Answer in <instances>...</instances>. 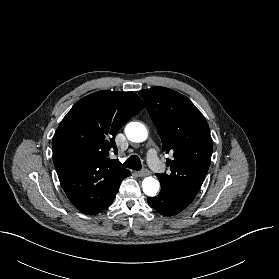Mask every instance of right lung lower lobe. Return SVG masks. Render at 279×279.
I'll use <instances>...</instances> for the list:
<instances>
[{"label": "right lung lower lobe", "instance_id": "right-lung-lower-lobe-1", "mask_svg": "<svg viewBox=\"0 0 279 279\" xmlns=\"http://www.w3.org/2000/svg\"><path fill=\"white\" fill-rule=\"evenodd\" d=\"M119 186H120V184L114 189V191L112 192L110 198H109V199L107 200V202L103 205V207H102L101 209H99L97 212H95L94 214H96V213H98V212H100V211L106 209L107 207H109V206L112 204V202H113V200H114V198H115V196H116V193H117L118 190H119Z\"/></svg>", "mask_w": 279, "mask_h": 279}]
</instances>
